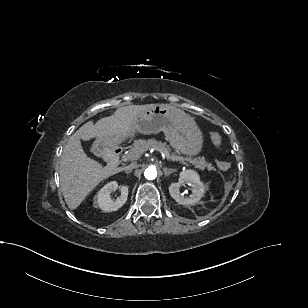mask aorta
I'll use <instances>...</instances> for the list:
<instances>
[{"mask_svg":"<svg viewBox=\"0 0 308 308\" xmlns=\"http://www.w3.org/2000/svg\"><path fill=\"white\" fill-rule=\"evenodd\" d=\"M144 176L146 179L148 180H154L157 177V170L155 167L151 166L148 167L145 171H144Z\"/></svg>","mask_w":308,"mask_h":308,"instance_id":"aorta-1","label":"aorta"}]
</instances>
